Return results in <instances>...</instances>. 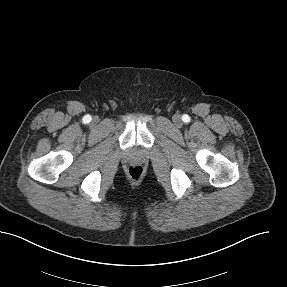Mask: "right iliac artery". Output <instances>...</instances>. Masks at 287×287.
<instances>
[{
	"label": "right iliac artery",
	"instance_id": "82829eb1",
	"mask_svg": "<svg viewBox=\"0 0 287 287\" xmlns=\"http://www.w3.org/2000/svg\"><path fill=\"white\" fill-rule=\"evenodd\" d=\"M83 121L84 123H89L91 121V116L90 115H86L84 118H83Z\"/></svg>",
	"mask_w": 287,
	"mask_h": 287
}]
</instances>
